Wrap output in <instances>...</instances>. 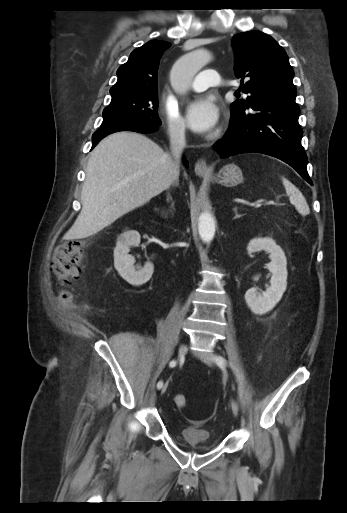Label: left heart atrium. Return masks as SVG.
Returning a JSON list of instances; mask_svg holds the SVG:
<instances>
[{
  "instance_id": "39dd6f15",
  "label": "left heart atrium",
  "mask_w": 347,
  "mask_h": 513,
  "mask_svg": "<svg viewBox=\"0 0 347 513\" xmlns=\"http://www.w3.org/2000/svg\"><path fill=\"white\" fill-rule=\"evenodd\" d=\"M220 112L213 97L200 96L191 101L186 109L188 127L201 134L211 132L219 122Z\"/></svg>"
}]
</instances>
